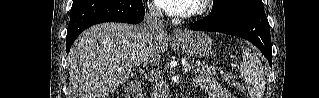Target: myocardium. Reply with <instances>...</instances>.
I'll return each instance as SVG.
<instances>
[{
    "mask_svg": "<svg viewBox=\"0 0 319 98\" xmlns=\"http://www.w3.org/2000/svg\"><path fill=\"white\" fill-rule=\"evenodd\" d=\"M208 3H209V1H207V0L196 1L195 5L193 7V10L191 12V15L198 16V15L203 14L207 9Z\"/></svg>",
    "mask_w": 319,
    "mask_h": 98,
    "instance_id": "obj_1",
    "label": "myocardium"
}]
</instances>
